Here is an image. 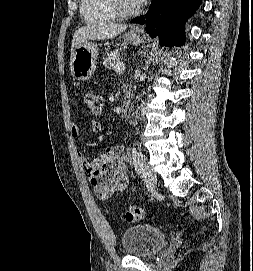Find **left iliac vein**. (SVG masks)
<instances>
[{"label":"left iliac vein","mask_w":253,"mask_h":271,"mask_svg":"<svg viewBox=\"0 0 253 271\" xmlns=\"http://www.w3.org/2000/svg\"><path fill=\"white\" fill-rule=\"evenodd\" d=\"M142 163L144 167L143 177L148 182V184L156 189L157 186V174L156 172L148 165V162L144 156H142Z\"/></svg>","instance_id":"left-iliac-vein-1"}]
</instances>
